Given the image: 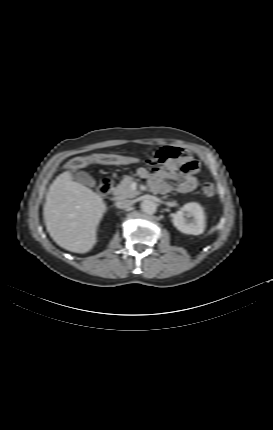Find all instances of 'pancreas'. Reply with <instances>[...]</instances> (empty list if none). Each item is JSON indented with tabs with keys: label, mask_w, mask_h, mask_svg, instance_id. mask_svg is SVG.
Masks as SVG:
<instances>
[{
	"label": "pancreas",
	"mask_w": 273,
	"mask_h": 430,
	"mask_svg": "<svg viewBox=\"0 0 273 430\" xmlns=\"http://www.w3.org/2000/svg\"><path fill=\"white\" fill-rule=\"evenodd\" d=\"M134 182L133 177L124 176L120 184L113 188L115 200H121L126 198H134L139 195L137 190H133L131 184Z\"/></svg>",
	"instance_id": "pancreas-1"
}]
</instances>
